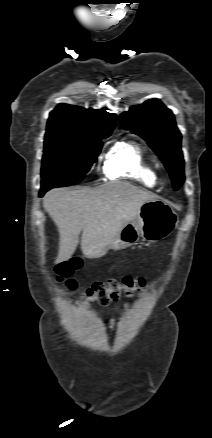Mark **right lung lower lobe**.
<instances>
[{
    "label": "right lung lower lobe",
    "instance_id": "1",
    "mask_svg": "<svg viewBox=\"0 0 212 438\" xmlns=\"http://www.w3.org/2000/svg\"><path fill=\"white\" fill-rule=\"evenodd\" d=\"M49 189H50L49 187H42V188H41V191H40V193H39V196L42 197V196L44 195V193H45L46 191H48Z\"/></svg>",
    "mask_w": 212,
    "mask_h": 438
}]
</instances>
